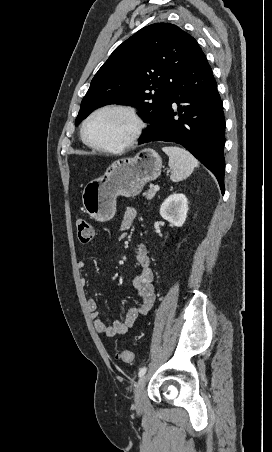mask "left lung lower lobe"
<instances>
[{
  "label": "left lung lower lobe",
  "mask_w": 272,
  "mask_h": 452,
  "mask_svg": "<svg viewBox=\"0 0 272 452\" xmlns=\"http://www.w3.org/2000/svg\"><path fill=\"white\" fill-rule=\"evenodd\" d=\"M150 141L183 145L216 176L224 194L223 102L199 45L176 79L164 112L140 137V144Z\"/></svg>",
  "instance_id": "left-lung-lower-lobe-1"
}]
</instances>
